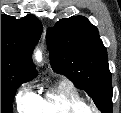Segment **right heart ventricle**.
Segmentation results:
<instances>
[{
    "instance_id": "1",
    "label": "right heart ventricle",
    "mask_w": 121,
    "mask_h": 113,
    "mask_svg": "<svg viewBox=\"0 0 121 113\" xmlns=\"http://www.w3.org/2000/svg\"><path fill=\"white\" fill-rule=\"evenodd\" d=\"M22 113H58L64 109H87V104L81 97L65 87L58 85L46 94L31 93L19 100Z\"/></svg>"
}]
</instances>
